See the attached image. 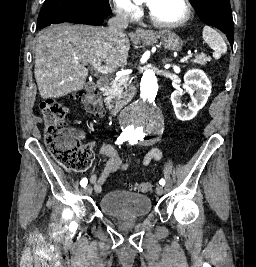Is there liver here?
I'll return each instance as SVG.
<instances>
[{"mask_svg": "<svg viewBox=\"0 0 256 267\" xmlns=\"http://www.w3.org/2000/svg\"><path fill=\"white\" fill-rule=\"evenodd\" d=\"M154 34V32H153ZM132 42L138 38L131 36ZM130 42L98 26L56 24L37 38L34 76L41 98H61L83 90L96 60L111 68L127 64Z\"/></svg>", "mask_w": 256, "mask_h": 267, "instance_id": "1", "label": "liver"}]
</instances>
